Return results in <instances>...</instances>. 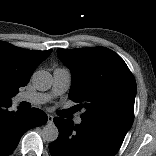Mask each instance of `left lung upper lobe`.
<instances>
[{"instance_id":"left-lung-upper-lobe-1","label":"left lung upper lobe","mask_w":156,"mask_h":156,"mask_svg":"<svg viewBox=\"0 0 156 156\" xmlns=\"http://www.w3.org/2000/svg\"><path fill=\"white\" fill-rule=\"evenodd\" d=\"M70 69L69 98L78 102L84 121L111 122L129 130L134 120L136 82L124 60L105 47L58 49Z\"/></svg>"}]
</instances>
